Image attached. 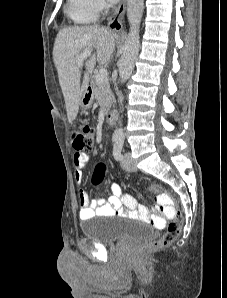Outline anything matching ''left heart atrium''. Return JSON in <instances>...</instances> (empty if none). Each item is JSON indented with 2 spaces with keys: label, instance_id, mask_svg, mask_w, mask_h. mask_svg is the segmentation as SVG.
Instances as JSON below:
<instances>
[{
  "label": "left heart atrium",
  "instance_id": "obj_1",
  "mask_svg": "<svg viewBox=\"0 0 227 298\" xmlns=\"http://www.w3.org/2000/svg\"><path fill=\"white\" fill-rule=\"evenodd\" d=\"M110 2H116V1H118V0H109Z\"/></svg>",
  "mask_w": 227,
  "mask_h": 298
}]
</instances>
